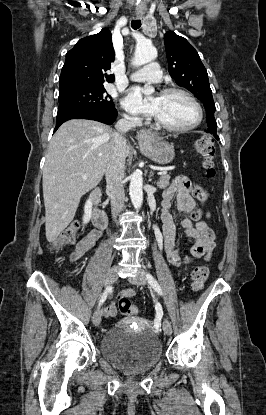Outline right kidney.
Returning a JSON list of instances; mask_svg holds the SVG:
<instances>
[{"label":"right kidney","instance_id":"ca27d5eb","mask_svg":"<svg viewBox=\"0 0 266 415\" xmlns=\"http://www.w3.org/2000/svg\"><path fill=\"white\" fill-rule=\"evenodd\" d=\"M91 210H92V202L91 200H87L84 206V216H83L84 224H87L90 221Z\"/></svg>","mask_w":266,"mask_h":415}]
</instances>
